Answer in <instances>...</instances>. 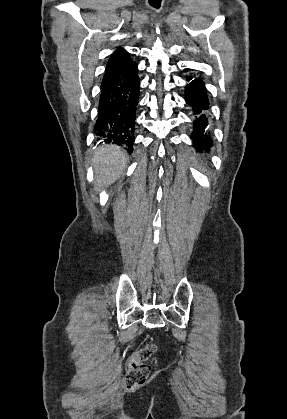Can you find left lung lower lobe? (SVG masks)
Listing matches in <instances>:
<instances>
[{
	"instance_id": "left-lung-lower-lobe-1",
	"label": "left lung lower lobe",
	"mask_w": 287,
	"mask_h": 419,
	"mask_svg": "<svg viewBox=\"0 0 287 419\" xmlns=\"http://www.w3.org/2000/svg\"><path fill=\"white\" fill-rule=\"evenodd\" d=\"M190 80L185 88V100L193 108L194 114L198 115L193 123V144L198 152H208L212 147L210 121L206 111L209 108V101L203 81L189 77L188 81Z\"/></svg>"
}]
</instances>
